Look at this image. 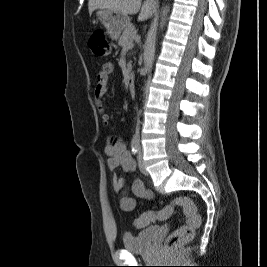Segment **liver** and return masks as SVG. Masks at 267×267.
Segmentation results:
<instances>
[{
    "mask_svg": "<svg viewBox=\"0 0 267 267\" xmlns=\"http://www.w3.org/2000/svg\"><path fill=\"white\" fill-rule=\"evenodd\" d=\"M155 8L156 4L153 0H146L143 5L142 0H89L88 2L90 15L96 9H108L126 16L140 12L138 21L149 19Z\"/></svg>",
    "mask_w": 267,
    "mask_h": 267,
    "instance_id": "6515ba94",
    "label": "liver"
}]
</instances>
